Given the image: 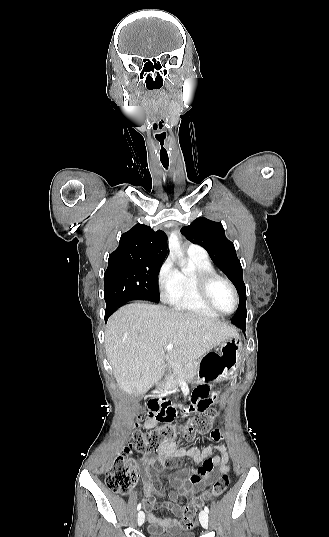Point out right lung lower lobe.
Segmentation results:
<instances>
[{"label": "right lung lower lobe", "instance_id": "98d812e1", "mask_svg": "<svg viewBox=\"0 0 329 537\" xmlns=\"http://www.w3.org/2000/svg\"><path fill=\"white\" fill-rule=\"evenodd\" d=\"M115 310H109V309H106L105 310V321H107V319L109 318V316L114 312Z\"/></svg>", "mask_w": 329, "mask_h": 537}]
</instances>
